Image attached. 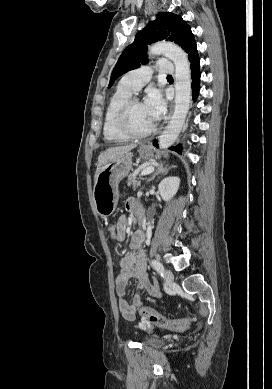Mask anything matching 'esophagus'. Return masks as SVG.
<instances>
[{
    "instance_id": "34e87169",
    "label": "esophagus",
    "mask_w": 272,
    "mask_h": 389,
    "mask_svg": "<svg viewBox=\"0 0 272 389\" xmlns=\"http://www.w3.org/2000/svg\"><path fill=\"white\" fill-rule=\"evenodd\" d=\"M173 108H174V103L172 102V103H171V106H170V116H171V114H172V112H173Z\"/></svg>"
}]
</instances>
